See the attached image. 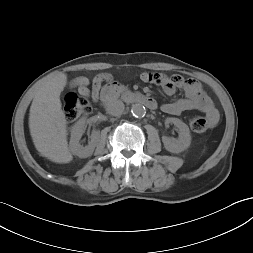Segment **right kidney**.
Returning a JSON list of instances; mask_svg holds the SVG:
<instances>
[{"label":"right kidney","instance_id":"obj_1","mask_svg":"<svg viewBox=\"0 0 253 253\" xmlns=\"http://www.w3.org/2000/svg\"><path fill=\"white\" fill-rule=\"evenodd\" d=\"M85 123V119H80L71 129L69 148L72 154L77 155L80 158L91 156L100 139V132L94 131L90 136L91 140L87 146L84 147L79 143L85 131Z\"/></svg>","mask_w":253,"mask_h":253}]
</instances>
